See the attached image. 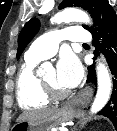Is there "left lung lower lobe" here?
Wrapping results in <instances>:
<instances>
[{
	"label": "left lung lower lobe",
	"mask_w": 117,
	"mask_h": 131,
	"mask_svg": "<svg viewBox=\"0 0 117 131\" xmlns=\"http://www.w3.org/2000/svg\"><path fill=\"white\" fill-rule=\"evenodd\" d=\"M96 26L95 31H91L95 45L106 57L113 75L111 98L99 114L110 118L114 126L117 127V15L109 3L101 11ZM99 40H101V43ZM90 82L96 83L94 65L88 67L87 83Z\"/></svg>",
	"instance_id": "0a47b994"
}]
</instances>
